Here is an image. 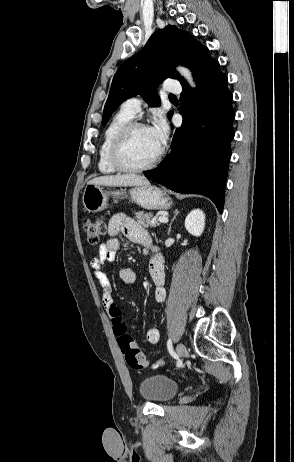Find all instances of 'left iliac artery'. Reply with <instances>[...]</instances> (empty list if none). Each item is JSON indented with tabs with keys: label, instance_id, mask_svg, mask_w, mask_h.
Here are the masks:
<instances>
[{
	"label": "left iliac artery",
	"instance_id": "left-iliac-artery-1",
	"mask_svg": "<svg viewBox=\"0 0 294 462\" xmlns=\"http://www.w3.org/2000/svg\"><path fill=\"white\" fill-rule=\"evenodd\" d=\"M173 344H172V341L171 339L168 340L167 342V352H169V356H171L172 360H176V365L177 367H180L182 365V359L179 358V355L178 353H176V351H174L173 349Z\"/></svg>",
	"mask_w": 294,
	"mask_h": 462
}]
</instances>
